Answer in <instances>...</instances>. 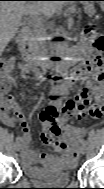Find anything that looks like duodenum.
<instances>
[{
	"label": "duodenum",
	"instance_id": "1",
	"mask_svg": "<svg viewBox=\"0 0 104 189\" xmlns=\"http://www.w3.org/2000/svg\"><path fill=\"white\" fill-rule=\"evenodd\" d=\"M32 26V20L24 21V29L19 37V46L24 55L27 67L36 75H41L43 69L37 58V51L34 47L33 36L31 33ZM76 52L78 56H84V49L82 47H77Z\"/></svg>",
	"mask_w": 104,
	"mask_h": 189
}]
</instances>
